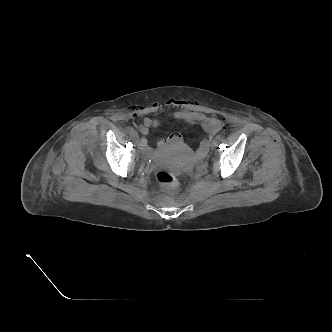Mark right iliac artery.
Here are the masks:
<instances>
[{"mask_svg": "<svg viewBox=\"0 0 332 332\" xmlns=\"http://www.w3.org/2000/svg\"><path fill=\"white\" fill-rule=\"evenodd\" d=\"M133 130H134V129H133L132 127H127V131H128V132H133Z\"/></svg>", "mask_w": 332, "mask_h": 332, "instance_id": "obj_1", "label": "right iliac artery"}]
</instances>
